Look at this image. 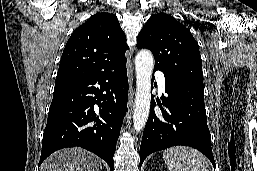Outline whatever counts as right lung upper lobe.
Listing matches in <instances>:
<instances>
[{"instance_id": "1", "label": "right lung upper lobe", "mask_w": 257, "mask_h": 171, "mask_svg": "<svg viewBox=\"0 0 257 171\" xmlns=\"http://www.w3.org/2000/svg\"><path fill=\"white\" fill-rule=\"evenodd\" d=\"M126 36L115 15L97 13L69 38L61 57L56 83L81 80L126 63Z\"/></svg>"}]
</instances>
